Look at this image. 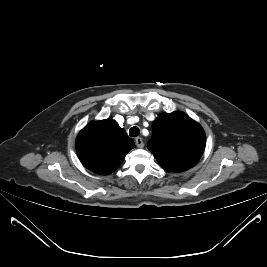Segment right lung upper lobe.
Instances as JSON below:
<instances>
[{
	"instance_id": "right-lung-upper-lobe-1",
	"label": "right lung upper lobe",
	"mask_w": 267,
	"mask_h": 267,
	"mask_svg": "<svg viewBox=\"0 0 267 267\" xmlns=\"http://www.w3.org/2000/svg\"><path fill=\"white\" fill-rule=\"evenodd\" d=\"M134 147L133 140L112 119L90 122L76 138V150L82 164L101 175L114 172Z\"/></svg>"
}]
</instances>
